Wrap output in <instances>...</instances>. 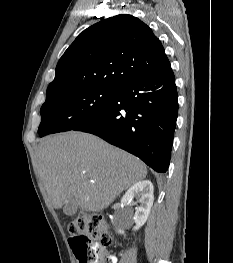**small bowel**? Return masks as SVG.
<instances>
[{
  "label": "small bowel",
  "mask_w": 233,
  "mask_h": 263,
  "mask_svg": "<svg viewBox=\"0 0 233 263\" xmlns=\"http://www.w3.org/2000/svg\"><path fill=\"white\" fill-rule=\"evenodd\" d=\"M117 262H118L117 257L115 255H110L108 256L106 263H117Z\"/></svg>",
  "instance_id": "obj_1"
}]
</instances>
